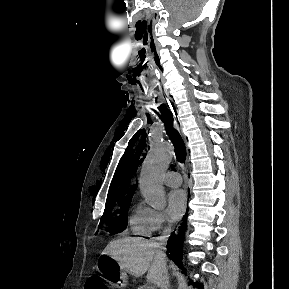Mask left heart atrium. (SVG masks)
Masks as SVG:
<instances>
[{
  "instance_id": "obj_1",
  "label": "left heart atrium",
  "mask_w": 289,
  "mask_h": 289,
  "mask_svg": "<svg viewBox=\"0 0 289 289\" xmlns=\"http://www.w3.org/2000/svg\"><path fill=\"white\" fill-rule=\"evenodd\" d=\"M187 206L186 193L181 189H175L167 195V211L171 219L177 220L184 214Z\"/></svg>"
}]
</instances>
